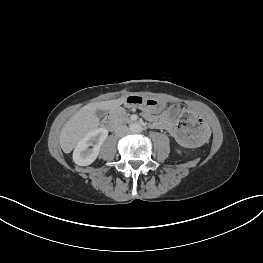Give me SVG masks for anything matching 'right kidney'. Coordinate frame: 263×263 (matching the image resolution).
I'll list each match as a JSON object with an SVG mask.
<instances>
[{
  "label": "right kidney",
  "instance_id": "obj_1",
  "mask_svg": "<svg viewBox=\"0 0 263 263\" xmlns=\"http://www.w3.org/2000/svg\"><path fill=\"white\" fill-rule=\"evenodd\" d=\"M107 136L108 130L105 128H96L89 132L77 143L73 152V161L79 166L92 164ZM91 146L93 148H90Z\"/></svg>",
  "mask_w": 263,
  "mask_h": 263
}]
</instances>
